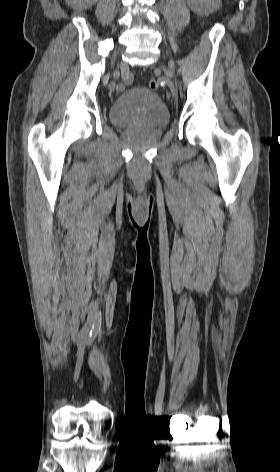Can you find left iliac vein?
<instances>
[{
  "label": "left iliac vein",
  "instance_id": "1",
  "mask_svg": "<svg viewBox=\"0 0 280 472\" xmlns=\"http://www.w3.org/2000/svg\"><path fill=\"white\" fill-rule=\"evenodd\" d=\"M164 70H165L166 75H167L169 78H171V77H172V72H171L170 70H168V69H164Z\"/></svg>",
  "mask_w": 280,
  "mask_h": 472
}]
</instances>
